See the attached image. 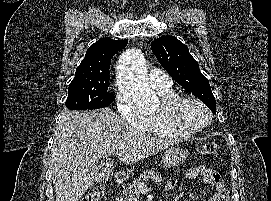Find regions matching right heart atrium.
Segmentation results:
<instances>
[{
  "mask_svg": "<svg viewBox=\"0 0 271 201\" xmlns=\"http://www.w3.org/2000/svg\"><path fill=\"white\" fill-rule=\"evenodd\" d=\"M116 107L121 117L129 124L142 128L147 123V117L140 114L123 93H116Z\"/></svg>",
  "mask_w": 271,
  "mask_h": 201,
  "instance_id": "right-heart-atrium-1",
  "label": "right heart atrium"
}]
</instances>
